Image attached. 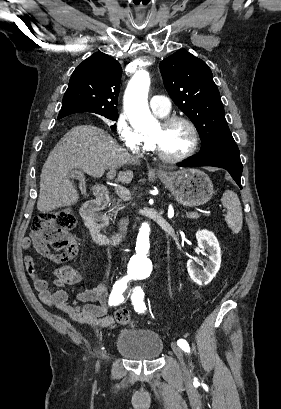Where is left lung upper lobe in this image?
<instances>
[{
	"label": "left lung upper lobe",
	"mask_w": 281,
	"mask_h": 409,
	"mask_svg": "<svg viewBox=\"0 0 281 409\" xmlns=\"http://www.w3.org/2000/svg\"><path fill=\"white\" fill-rule=\"evenodd\" d=\"M159 67L170 97L197 128L202 141L198 154H239L208 65L188 51L179 50L161 61Z\"/></svg>",
	"instance_id": "1"
}]
</instances>
